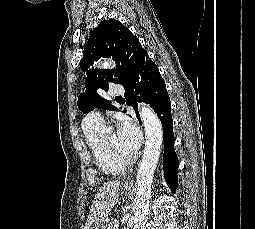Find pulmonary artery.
<instances>
[{"label": "pulmonary artery", "instance_id": "pulmonary-artery-1", "mask_svg": "<svg viewBox=\"0 0 255 229\" xmlns=\"http://www.w3.org/2000/svg\"><path fill=\"white\" fill-rule=\"evenodd\" d=\"M124 91L123 87L120 85H113L111 89V95H120ZM104 125V121L101 115L97 112L89 113L84 119V126L87 127H102Z\"/></svg>", "mask_w": 255, "mask_h": 229}]
</instances>
